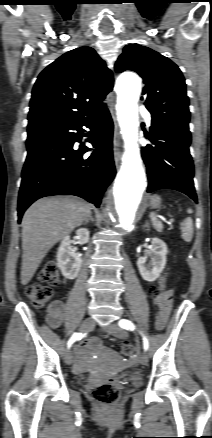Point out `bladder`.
Instances as JSON below:
<instances>
[{"instance_id":"1","label":"bladder","mask_w":212,"mask_h":438,"mask_svg":"<svg viewBox=\"0 0 212 438\" xmlns=\"http://www.w3.org/2000/svg\"><path fill=\"white\" fill-rule=\"evenodd\" d=\"M124 377H125V379H127V380L129 381V383L132 384V385H139V383H140L139 378H138L135 374H133V373H126V374L124 375Z\"/></svg>"}]
</instances>
